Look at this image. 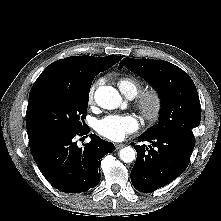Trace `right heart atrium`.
<instances>
[{
  "label": "right heart atrium",
  "instance_id": "d8ad5b80",
  "mask_svg": "<svg viewBox=\"0 0 221 221\" xmlns=\"http://www.w3.org/2000/svg\"><path fill=\"white\" fill-rule=\"evenodd\" d=\"M97 85H98V83H94L88 91V103L89 104L93 103L94 94H95V90H96Z\"/></svg>",
  "mask_w": 221,
  "mask_h": 221
}]
</instances>
